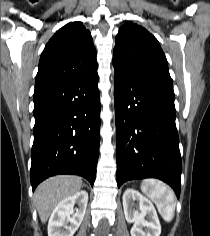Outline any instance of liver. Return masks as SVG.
<instances>
[{
  "mask_svg": "<svg viewBox=\"0 0 210 236\" xmlns=\"http://www.w3.org/2000/svg\"><path fill=\"white\" fill-rule=\"evenodd\" d=\"M82 188V179L76 176H55L42 182L35 190L36 208L42 223L63 199L74 195Z\"/></svg>",
  "mask_w": 210,
  "mask_h": 236,
  "instance_id": "1",
  "label": "liver"
}]
</instances>
